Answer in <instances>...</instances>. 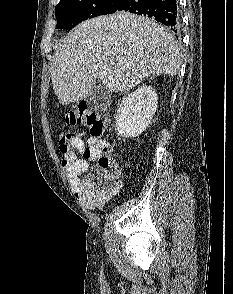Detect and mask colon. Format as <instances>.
Segmentation results:
<instances>
[{
    "mask_svg": "<svg viewBox=\"0 0 233 294\" xmlns=\"http://www.w3.org/2000/svg\"><path fill=\"white\" fill-rule=\"evenodd\" d=\"M66 122L72 125H83L90 131L94 139L102 136L107 120L94 112L89 111L84 104H79L70 109L66 114ZM72 134H62L58 138L59 151L62 158H66L70 151ZM108 144L102 145L95 155V165L85 178V185L89 189L108 188L118 174V167L113 158L108 154Z\"/></svg>",
    "mask_w": 233,
    "mask_h": 294,
    "instance_id": "5ec220e1",
    "label": "colon"
}]
</instances>
